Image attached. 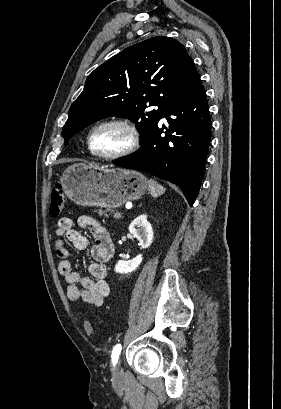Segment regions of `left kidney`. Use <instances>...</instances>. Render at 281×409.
Masks as SVG:
<instances>
[{"instance_id":"obj_1","label":"left kidney","mask_w":281,"mask_h":409,"mask_svg":"<svg viewBox=\"0 0 281 409\" xmlns=\"http://www.w3.org/2000/svg\"><path fill=\"white\" fill-rule=\"evenodd\" d=\"M129 233L138 239L142 249H148L153 241V229L147 221V215L136 217L129 225ZM140 263H142V255H137L132 261H118L115 265V273H121V275L133 273Z\"/></svg>"}]
</instances>
